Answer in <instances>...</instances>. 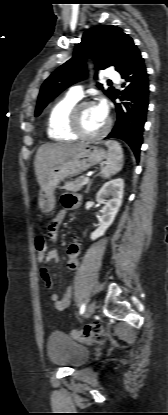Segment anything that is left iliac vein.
<instances>
[{
	"instance_id": "4c4485c4",
	"label": "left iliac vein",
	"mask_w": 168,
	"mask_h": 415,
	"mask_svg": "<svg viewBox=\"0 0 168 415\" xmlns=\"http://www.w3.org/2000/svg\"><path fill=\"white\" fill-rule=\"evenodd\" d=\"M95 309H96L95 302H91L86 309L85 317L90 318L94 314Z\"/></svg>"
}]
</instances>
